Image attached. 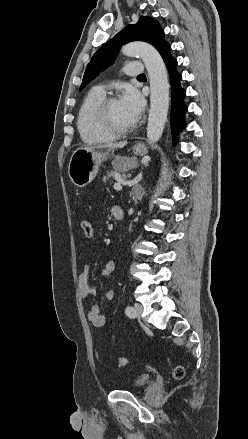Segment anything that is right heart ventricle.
I'll return each instance as SVG.
<instances>
[{"label":"right heart ventricle","mask_w":248,"mask_h":439,"mask_svg":"<svg viewBox=\"0 0 248 439\" xmlns=\"http://www.w3.org/2000/svg\"><path fill=\"white\" fill-rule=\"evenodd\" d=\"M105 94L92 88L83 99L77 114V129L82 141L88 145L109 143L116 136L104 131L95 120V110Z\"/></svg>","instance_id":"obj_1"}]
</instances>
